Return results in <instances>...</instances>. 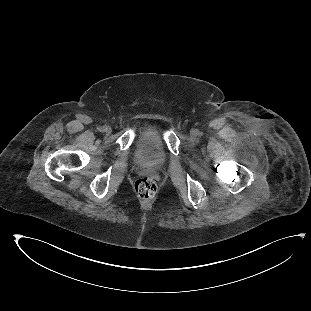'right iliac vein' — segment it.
<instances>
[{
  "mask_svg": "<svg viewBox=\"0 0 311 311\" xmlns=\"http://www.w3.org/2000/svg\"><path fill=\"white\" fill-rule=\"evenodd\" d=\"M112 132V129L110 128V127H108L107 129H106V134H110Z\"/></svg>",
  "mask_w": 311,
  "mask_h": 311,
  "instance_id": "right-iliac-vein-1",
  "label": "right iliac vein"
}]
</instances>
